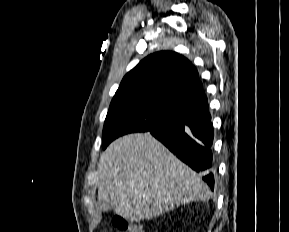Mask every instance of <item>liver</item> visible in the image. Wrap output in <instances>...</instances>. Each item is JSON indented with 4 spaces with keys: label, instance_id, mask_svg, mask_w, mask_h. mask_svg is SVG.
<instances>
[{
    "label": "liver",
    "instance_id": "obj_1",
    "mask_svg": "<svg viewBox=\"0 0 289 232\" xmlns=\"http://www.w3.org/2000/svg\"><path fill=\"white\" fill-rule=\"evenodd\" d=\"M98 171V199L130 221L156 218L211 195L201 177L150 133L113 141L101 154Z\"/></svg>",
    "mask_w": 289,
    "mask_h": 232
}]
</instances>
